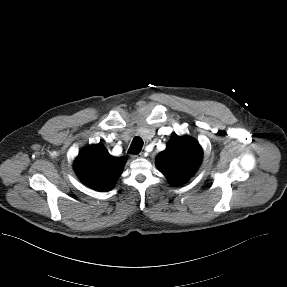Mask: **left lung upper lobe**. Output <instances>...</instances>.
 <instances>
[{"label": "left lung upper lobe", "instance_id": "1", "mask_svg": "<svg viewBox=\"0 0 287 287\" xmlns=\"http://www.w3.org/2000/svg\"><path fill=\"white\" fill-rule=\"evenodd\" d=\"M202 158V148L195 139L173 134L166 149L158 154L155 165L172 185L178 186L195 174Z\"/></svg>", "mask_w": 287, "mask_h": 287}]
</instances>
